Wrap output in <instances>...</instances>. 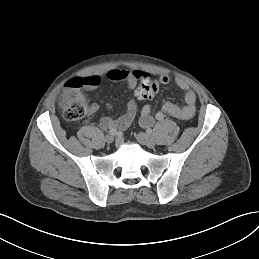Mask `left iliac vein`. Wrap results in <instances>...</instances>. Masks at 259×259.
Listing matches in <instances>:
<instances>
[{
	"label": "left iliac vein",
	"mask_w": 259,
	"mask_h": 259,
	"mask_svg": "<svg viewBox=\"0 0 259 259\" xmlns=\"http://www.w3.org/2000/svg\"><path fill=\"white\" fill-rule=\"evenodd\" d=\"M138 141L148 147H153L156 143V139L153 135L147 133H139L137 136Z\"/></svg>",
	"instance_id": "left-iliac-vein-1"
}]
</instances>
